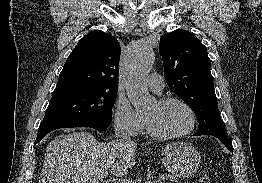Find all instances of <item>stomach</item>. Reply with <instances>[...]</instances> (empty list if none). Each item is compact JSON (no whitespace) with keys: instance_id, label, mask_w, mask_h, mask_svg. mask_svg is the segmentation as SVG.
Returning a JSON list of instances; mask_svg holds the SVG:
<instances>
[{"instance_id":"obj_1","label":"stomach","mask_w":262,"mask_h":183,"mask_svg":"<svg viewBox=\"0 0 262 183\" xmlns=\"http://www.w3.org/2000/svg\"><path fill=\"white\" fill-rule=\"evenodd\" d=\"M162 162L175 177H189L197 172L201 156L189 143L172 142L162 151Z\"/></svg>"}]
</instances>
